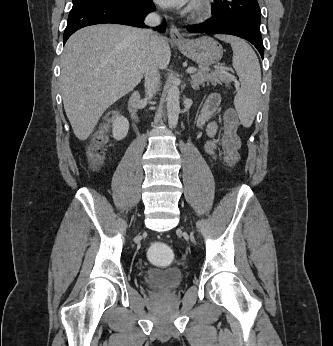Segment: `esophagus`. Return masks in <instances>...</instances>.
I'll return each instance as SVG.
<instances>
[{"label":"esophagus","mask_w":333,"mask_h":346,"mask_svg":"<svg viewBox=\"0 0 333 346\" xmlns=\"http://www.w3.org/2000/svg\"><path fill=\"white\" fill-rule=\"evenodd\" d=\"M170 37L175 42H183V41H185V38L180 33L179 29L172 23L170 24Z\"/></svg>","instance_id":"esophagus-1"}]
</instances>
